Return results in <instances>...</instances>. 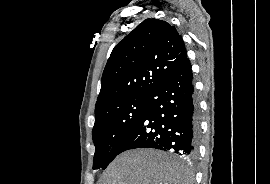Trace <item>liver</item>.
<instances>
[{"label":"liver","instance_id":"1","mask_svg":"<svg viewBox=\"0 0 270 184\" xmlns=\"http://www.w3.org/2000/svg\"><path fill=\"white\" fill-rule=\"evenodd\" d=\"M191 172L166 154L151 149L126 151L103 173L99 184H191Z\"/></svg>","mask_w":270,"mask_h":184}]
</instances>
